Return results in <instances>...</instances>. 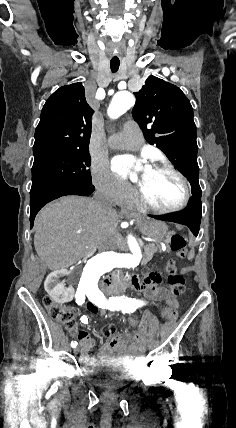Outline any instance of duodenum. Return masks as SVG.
I'll list each match as a JSON object with an SVG mask.
<instances>
[{
    "label": "duodenum",
    "instance_id": "obj_1",
    "mask_svg": "<svg viewBox=\"0 0 236 428\" xmlns=\"http://www.w3.org/2000/svg\"><path fill=\"white\" fill-rule=\"evenodd\" d=\"M138 278L130 273L108 276L102 280L101 292L106 298H117L128 288H133Z\"/></svg>",
    "mask_w": 236,
    "mask_h": 428
}]
</instances>
